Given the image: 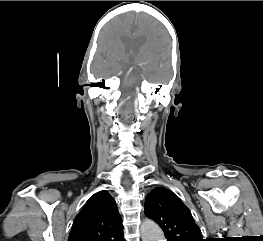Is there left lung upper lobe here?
<instances>
[{"mask_svg":"<svg viewBox=\"0 0 263 241\" xmlns=\"http://www.w3.org/2000/svg\"><path fill=\"white\" fill-rule=\"evenodd\" d=\"M145 214L161 227L167 241H204L190 210L167 188L156 187L147 195Z\"/></svg>","mask_w":263,"mask_h":241,"instance_id":"obj_1","label":"left lung upper lobe"}]
</instances>
